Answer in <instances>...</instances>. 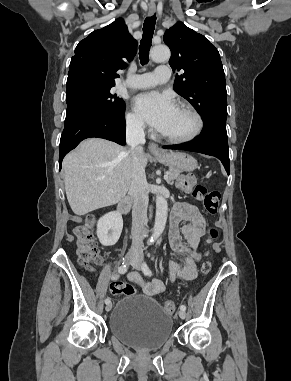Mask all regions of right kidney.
Instances as JSON below:
<instances>
[{
  "label": "right kidney",
  "instance_id": "obj_1",
  "mask_svg": "<svg viewBox=\"0 0 291 381\" xmlns=\"http://www.w3.org/2000/svg\"><path fill=\"white\" fill-rule=\"evenodd\" d=\"M123 228L122 215L112 211L102 216L97 223V237L104 246L117 243Z\"/></svg>",
  "mask_w": 291,
  "mask_h": 381
}]
</instances>
